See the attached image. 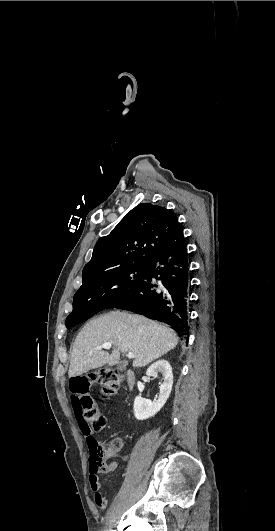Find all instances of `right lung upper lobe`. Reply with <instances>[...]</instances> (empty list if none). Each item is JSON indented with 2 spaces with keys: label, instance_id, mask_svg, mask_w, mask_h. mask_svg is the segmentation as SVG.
I'll list each match as a JSON object with an SVG mask.
<instances>
[{
  "label": "right lung upper lobe",
  "instance_id": "right-lung-upper-lobe-1",
  "mask_svg": "<svg viewBox=\"0 0 275 531\" xmlns=\"http://www.w3.org/2000/svg\"><path fill=\"white\" fill-rule=\"evenodd\" d=\"M179 222L168 209L150 203L128 212L107 236L101 237L82 272V285L114 270L147 266Z\"/></svg>",
  "mask_w": 275,
  "mask_h": 531
}]
</instances>
